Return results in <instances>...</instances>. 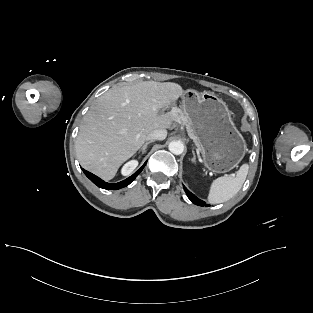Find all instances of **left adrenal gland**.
<instances>
[{
	"mask_svg": "<svg viewBox=\"0 0 313 313\" xmlns=\"http://www.w3.org/2000/svg\"><path fill=\"white\" fill-rule=\"evenodd\" d=\"M192 154H193V158L191 159V161H192L193 163H196V155H195L194 150H192Z\"/></svg>",
	"mask_w": 313,
	"mask_h": 313,
	"instance_id": "left-adrenal-gland-1",
	"label": "left adrenal gland"
}]
</instances>
